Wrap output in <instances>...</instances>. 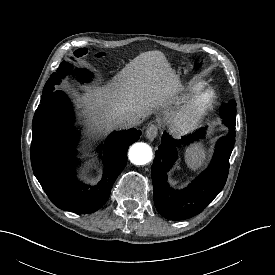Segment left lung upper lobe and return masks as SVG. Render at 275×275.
I'll return each instance as SVG.
<instances>
[{"label":"left lung upper lobe","instance_id":"5c2ea615","mask_svg":"<svg viewBox=\"0 0 275 275\" xmlns=\"http://www.w3.org/2000/svg\"><path fill=\"white\" fill-rule=\"evenodd\" d=\"M220 116L225 121L235 124L236 119V102L231 100L228 104H223L220 107Z\"/></svg>","mask_w":275,"mask_h":275}]
</instances>
